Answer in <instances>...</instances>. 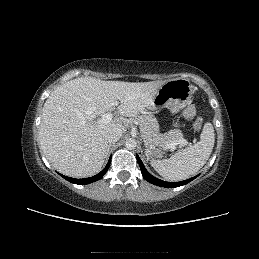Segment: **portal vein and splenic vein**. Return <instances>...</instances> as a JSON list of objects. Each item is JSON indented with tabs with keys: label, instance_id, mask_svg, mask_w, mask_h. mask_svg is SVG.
Wrapping results in <instances>:
<instances>
[{
	"label": "portal vein and splenic vein",
	"instance_id": "portal-vein-and-splenic-vein-1",
	"mask_svg": "<svg viewBox=\"0 0 259 259\" xmlns=\"http://www.w3.org/2000/svg\"><path fill=\"white\" fill-rule=\"evenodd\" d=\"M116 104H118V102H116ZM113 119V114L112 113H105L103 116H102V119L101 121L106 123V122H110L111 120ZM188 142L185 140V139H181V140H178L176 142H172L170 143V145L168 146L169 148H174L175 146L177 145H181V146H184L186 145Z\"/></svg>",
	"mask_w": 259,
	"mask_h": 259
}]
</instances>
